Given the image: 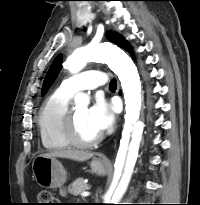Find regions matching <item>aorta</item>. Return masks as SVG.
Here are the masks:
<instances>
[{
	"label": "aorta",
	"mask_w": 200,
	"mask_h": 205,
	"mask_svg": "<svg viewBox=\"0 0 200 205\" xmlns=\"http://www.w3.org/2000/svg\"><path fill=\"white\" fill-rule=\"evenodd\" d=\"M89 61L108 64L118 76L124 93L126 114L118 156L126 155V160L121 179L112 196V201L117 204L125 194L131 180L143 133L144 125L139 120L142 104L141 82L137 67L132 59L112 43L105 42L79 47L68 57L67 65L70 72L77 73ZM75 102L78 106L86 107L89 103V97L86 94H78ZM130 137L132 139L129 143ZM108 201L109 198L105 197V202Z\"/></svg>",
	"instance_id": "obj_1"
}]
</instances>
